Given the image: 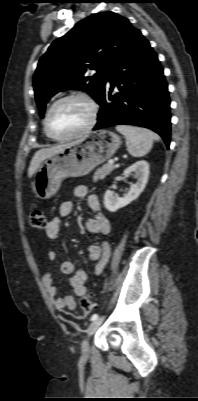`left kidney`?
Masks as SVG:
<instances>
[{
    "label": "left kidney",
    "instance_id": "left-kidney-1",
    "mask_svg": "<svg viewBox=\"0 0 198 401\" xmlns=\"http://www.w3.org/2000/svg\"><path fill=\"white\" fill-rule=\"evenodd\" d=\"M134 173L137 182L130 186L127 195L123 198L116 195L113 191L107 190L104 194V206L110 212H115L123 208L137 199L144 190L149 176V164L147 161H137L124 171V175L128 176Z\"/></svg>",
    "mask_w": 198,
    "mask_h": 401
}]
</instances>
